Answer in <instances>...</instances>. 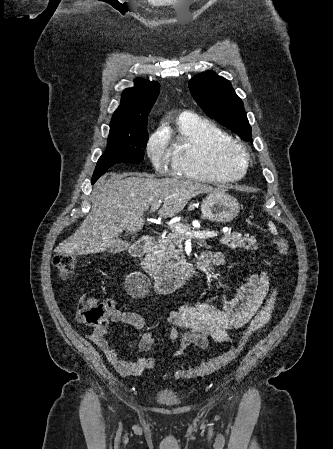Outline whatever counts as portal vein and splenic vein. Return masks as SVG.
<instances>
[{
	"label": "portal vein and splenic vein",
	"mask_w": 333,
	"mask_h": 449,
	"mask_svg": "<svg viewBox=\"0 0 333 449\" xmlns=\"http://www.w3.org/2000/svg\"><path fill=\"white\" fill-rule=\"evenodd\" d=\"M162 200H159L158 202H154L151 205V212H155L161 205ZM171 228L174 230L184 233L189 238H197V239H207V238H213L217 236L218 234L214 231H190L188 230L183 224H174L171 225Z\"/></svg>",
	"instance_id": "portal-vein-and-splenic-vein-1"
}]
</instances>
